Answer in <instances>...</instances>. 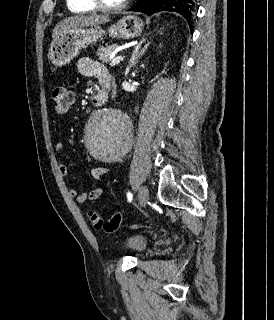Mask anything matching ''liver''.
Masks as SVG:
<instances>
[{
  "mask_svg": "<svg viewBox=\"0 0 274 320\" xmlns=\"http://www.w3.org/2000/svg\"><path fill=\"white\" fill-rule=\"evenodd\" d=\"M110 22L109 16H97V14H91V16H70V18H64L57 26H55L52 34L53 40L56 36H59L63 30H69V28H87V26H99V24H106Z\"/></svg>",
  "mask_w": 274,
  "mask_h": 320,
  "instance_id": "liver-1",
  "label": "liver"
}]
</instances>
